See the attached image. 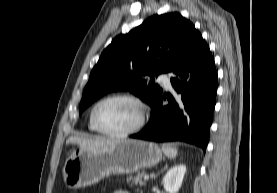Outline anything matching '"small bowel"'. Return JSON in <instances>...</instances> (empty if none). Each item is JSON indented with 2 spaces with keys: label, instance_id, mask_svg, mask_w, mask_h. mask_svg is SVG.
<instances>
[{
  "label": "small bowel",
  "instance_id": "1",
  "mask_svg": "<svg viewBox=\"0 0 277 193\" xmlns=\"http://www.w3.org/2000/svg\"><path fill=\"white\" fill-rule=\"evenodd\" d=\"M113 193H130L129 191H126V190H116L115 192Z\"/></svg>",
  "mask_w": 277,
  "mask_h": 193
}]
</instances>
